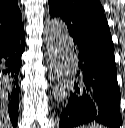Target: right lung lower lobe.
Instances as JSON below:
<instances>
[{
	"instance_id": "right-lung-lower-lobe-1",
	"label": "right lung lower lobe",
	"mask_w": 125,
	"mask_h": 128,
	"mask_svg": "<svg viewBox=\"0 0 125 128\" xmlns=\"http://www.w3.org/2000/svg\"><path fill=\"white\" fill-rule=\"evenodd\" d=\"M25 50L24 27L0 38V85L8 94V112L14 128L17 125L19 109L18 77Z\"/></svg>"
}]
</instances>
